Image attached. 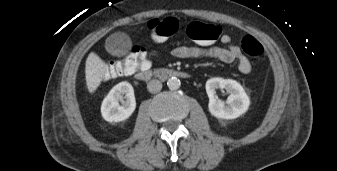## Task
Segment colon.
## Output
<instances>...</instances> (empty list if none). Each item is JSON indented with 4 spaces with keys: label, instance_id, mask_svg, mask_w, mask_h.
Masks as SVG:
<instances>
[{
    "label": "colon",
    "instance_id": "obj_1",
    "mask_svg": "<svg viewBox=\"0 0 337 171\" xmlns=\"http://www.w3.org/2000/svg\"><path fill=\"white\" fill-rule=\"evenodd\" d=\"M178 29L179 23L174 17L152 19L148 23L149 40L154 45H162L167 38L176 34ZM220 34L221 28L214 24L193 21L187 27L188 37L199 44H211L219 38ZM241 47L252 59L256 61L264 60V48L252 35H245L242 38ZM148 66L149 61L146 51L139 46H133L124 57L109 63L105 69L104 76L106 78L129 76Z\"/></svg>",
    "mask_w": 337,
    "mask_h": 171
}]
</instances>
